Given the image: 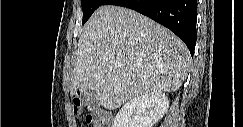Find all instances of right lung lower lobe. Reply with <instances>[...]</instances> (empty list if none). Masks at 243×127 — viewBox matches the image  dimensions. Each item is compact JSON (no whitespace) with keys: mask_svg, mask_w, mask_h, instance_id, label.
<instances>
[{"mask_svg":"<svg viewBox=\"0 0 243 127\" xmlns=\"http://www.w3.org/2000/svg\"><path fill=\"white\" fill-rule=\"evenodd\" d=\"M103 5L133 9L169 28L187 45L191 56L196 44V0H106Z\"/></svg>","mask_w":243,"mask_h":127,"instance_id":"98d812e1","label":"right lung lower lobe"}]
</instances>
